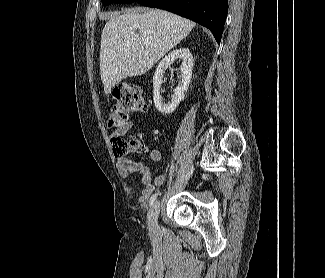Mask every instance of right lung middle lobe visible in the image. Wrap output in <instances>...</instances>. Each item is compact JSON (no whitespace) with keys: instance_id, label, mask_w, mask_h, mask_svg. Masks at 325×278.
Wrapping results in <instances>:
<instances>
[{"instance_id":"dd1d6c3e","label":"right lung middle lobe","mask_w":325,"mask_h":278,"mask_svg":"<svg viewBox=\"0 0 325 278\" xmlns=\"http://www.w3.org/2000/svg\"><path fill=\"white\" fill-rule=\"evenodd\" d=\"M137 0H102L103 5L107 6L111 3H132L135 2Z\"/></svg>"}]
</instances>
